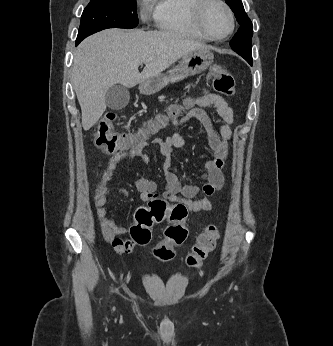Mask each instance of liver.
<instances>
[{"label": "liver", "instance_id": "obj_1", "mask_svg": "<svg viewBox=\"0 0 333 346\" xmlns=\"http://www.w3.org/2000/svg\"><path fill=\"white\" fill-rule=\"evenodd\" d=\"M207 46L169 31L107 29L83 40L74 53L72 83L89 130L106 110L105 95L116 84L127 88L161 74L190 52ZM144 63L140 73L138 67Z\"/></svg>", "mask_w": 333, "mask_h": 346}]
</instances>
